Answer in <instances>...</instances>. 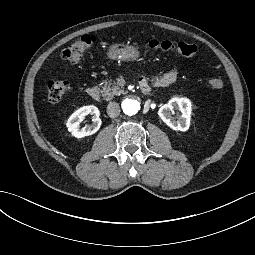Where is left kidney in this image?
<instances>
[{"label": "left kidney", "mask_w": 255, "mask_h": 255, "mask_svg": "<svg viewBox=\"0 0 255 255\" xmlns=\"http://www.w3.org/2000/svg\"><path fill=\"white\" fill-rule=\"evenodd\" d=\"M174 109L181 112V115L173 117ZM192 111L191 101L187 98L173 97L167 104H164L158 111L159 117L173 130L187 131L190 127V116Z\"/></svg>", "instance_id": "5707ae66"}]
</instances>
